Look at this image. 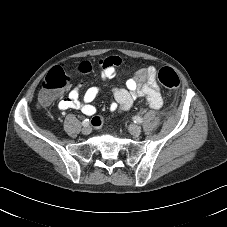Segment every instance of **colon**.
Wrapping results in <instances>:
<instances>
[{
    "mask_svg": "<svg viewBox=\"0 0 227 227\" xmlns=\"http://www.w3.org/2000/svg\"><path fill=\"white\" fill-rule=\"evenodd\" d=\"M76 70L80 73H89L91 71V63L82 61L77 64ZM157 79L162 86L168 89H177L180 85L178 74L169 67L161 68L158 71ZM69 82V76L62 66L52 68L42 81L39 94L40 104H49L58 95L59 91L67 87ZM95 121L97 122L98 120L96 119Z\"/></svg>",
    "mask_w": 227,
    "mask_h": 227,
    "instance_id": "obj_1",
    "label": "colon"
}]
</instances>
